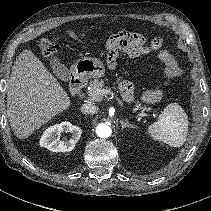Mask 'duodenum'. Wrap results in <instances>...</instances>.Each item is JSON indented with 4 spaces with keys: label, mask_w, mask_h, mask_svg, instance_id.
Masks as SVG:
<instances>
[{
    "label": "duodenum",
    "mask_w": 211,
    "mask_h": 211,
    "mask_svg": "<svg viewBox=\"0 0 211 211\" xmlns=\"http://www.w3.org/2000/svg\"><path fill=\"white\" fill-rule=\"evenodd\" d=\"M83 88H84V80L82 76L77 72H73L70 76L71 94L74 96H78L82 92Z\"/></svg>",
    "instance_id": "duodenum-1"
}]
</instances>
